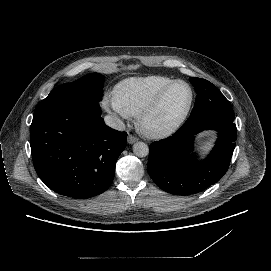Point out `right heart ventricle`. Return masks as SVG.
Returning <instances> with one entry per match:
<instances>
[{"instance_id":"1","label":"right heart ventricle","mask_w":271,"mask_h":271,"mask_svg":"<svg viewBox=\"0 0 271 271\" xmlns=\"http://www.w3.org/2000/svg\"><path fill=\"white\" fill-rule=\"evenodd\" d=\"M173 80L164 75L129 78L117 85L116 96L128 116L138 117Z\"/></svg>"}]
</instances>
